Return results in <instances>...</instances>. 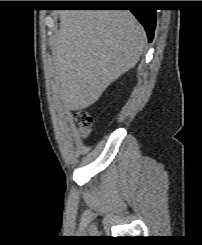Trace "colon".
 <instances>
[{
	"instance_id": "colon-1",
	"label": "colon",
	"mask_w": 202,
	"mask_h": 245,
	"mask_svg": "<svg viewBox=\"0 0 202 245\" xmlns=\"http://www.w3.org/2000/svg\"><path fill=\"white\" fill-rule=\"evenodd\" d=\"M75 116V120L78 124V126L82 129V130H86L89 129L92 125V118L91 116L81 110H76L74 113Z\"/></svg>"
}]
</instances>
